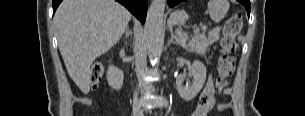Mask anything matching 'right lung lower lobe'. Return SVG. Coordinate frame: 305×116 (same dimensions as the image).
<instances>
[{
  "label": "right lung lower lobe",
  "mask_w": 305,
  "mask_h": 116,
  "mask_svg": "<svg viewBox=\"0 0 305 116\" xmlns=\"http://www.w3.org/2000/svg\"><path fill=\"white\" fill-rule=\"evenodd\" d=\"M62 0H52L53 12L56 11ZM124 5L142 23L145 22L148 0H116Z\"/></svg>",
  "instance_id": "1"
}]
</instances>
